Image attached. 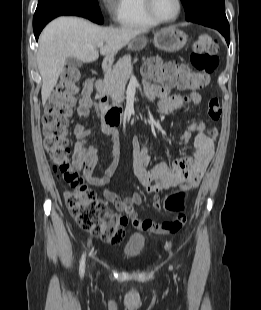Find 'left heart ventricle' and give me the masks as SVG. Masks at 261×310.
Here are the masks:
<instances>
[{
    "label": "left heart ventricle",
    "instance_id": "obj_1",
    "mask_svg": "<svg viewBox=\"0 0 261 310\" xmlns=\"http://www.w3.org/2000/svg\"><path fill=\"white\" fill-rule=\"evenodd\" d=\"M153 7L155 13L163 19L174 17L178 8L176 0H153Z\"/></svg>",
    "mask_w": 261,
    "mask_h": 310
}]
</instances>
